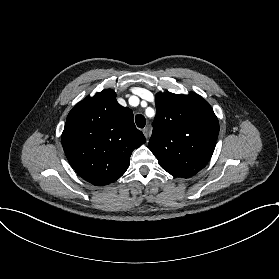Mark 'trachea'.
I'll use <instances>...</instances> for the list:
<instances>
[{
    "mask_svg": "<svg viewBox=\"0 0 279 279\" xmlns=\"http://www.w3.org/2000/svg\"><path fill=\"white\" fill-rule=\"evenodd\" d=\"M135 122L139 128H143L146 125V119L143 115H137L135 117Z\"/></svg>",
    "mask_w": 279,
    "mask_h": 279,
    "instance_id": "1",
    "label": "trachea"
}]
</instances>
